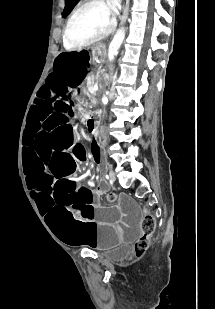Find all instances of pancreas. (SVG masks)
Here are the masks:
<instances>
[{
    "label": "pancreas",
    "mask_w": 215,
    "mask_h": 309,
    "mask_svg": "<svg viewBox=\"0 0 215 309\" xmlns=\"http://www.w3.org/2000/svg\"><path fill=\"white\" fill-rule=\"evenodd\" d=\"M94 84H95V80H93V78H91V76H89V80H87V88H88V90H93ZM90 100H91V102H93V104H96L97 100L95 98L94 92H93Z\"/></svg>",
    "instance_id": "cf45deb5"
}]
</instances>
